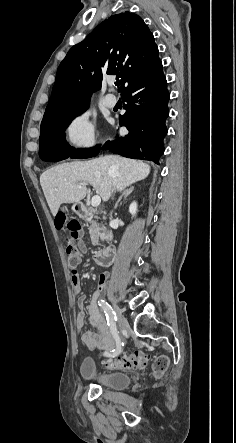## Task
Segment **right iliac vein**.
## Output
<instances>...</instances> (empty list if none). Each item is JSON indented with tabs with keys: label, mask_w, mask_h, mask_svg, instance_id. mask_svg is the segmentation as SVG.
I'll return each mask as SVG.
<instances>
[{
	"label": "right iliac vein",
	"mask_w": 236,
	"mask_h": 443,
	"mask_svg": "<svg viewBox=\"0 0 236 443\" xmlns=\"http://www.w3.org/2000/svg\"><path fill=\"white\" fill-rule=\"evenodd\" d=\"M126 325H127V320L124 317L120 316L118 318V326L120 328H124Z\"/></svg>",
	"instance_id": "1"
}]
</instances>
